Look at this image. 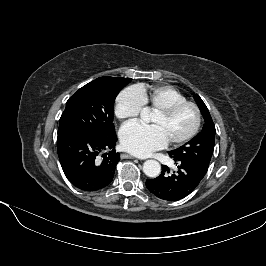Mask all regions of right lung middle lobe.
Here are the masks:
<instances>
[{
    "instance_id": "1",
    "label": "right lung middle lobe",
    "mask_w": 266,
    "mask_h": 266,
    "mask_svg": "<svg viewBox=\"0 0 266 266\" xmlns=\"http://www.w3.org/2000/svg\"><path fill=\"white\" fill-rule=\"evenodd\" d=\"M130 78L100 77L80 88L66 103L58 135L67 132L106 137L115 132L114 101Z\"/></svg>"
}]
</instances>
